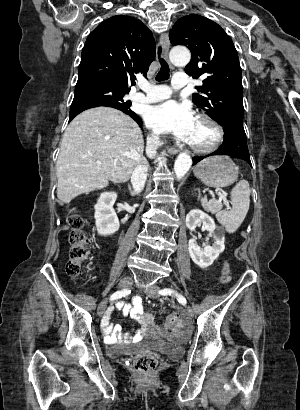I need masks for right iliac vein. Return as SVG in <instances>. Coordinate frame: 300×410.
<instances>
[{"label": "right iliac vein", "mask_w": 300, "mask_h": 410, "mask_svg": "<svg viewBox=\"0 0 300 410\" xmlns=\"http://www.w3.org/2000/svg\"><path fill=\"white\" fill-rule=\"evenodd\" d=\"M133 284V280L131 277H125L123 278L119 284L118 287L121 289H127L129 287H131ZM107 307V299H104L103 301H101V303L98 306V315H102L104 313V311L106 310Z\"/></svg>", "instance_id": "1"}]
</instances>
